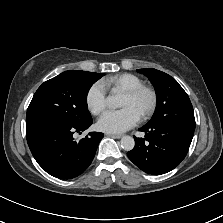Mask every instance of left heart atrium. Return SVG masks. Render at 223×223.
<instances>
[{
    "label": "left heart atrium",
    "mask_w": 223,
    "mask_h": 223,
    "mask_svg": "<svg viewBox=\"0 0 223 223\" xmlns=\"http://www.w3.org/2000/svg\"><path fill=\"white\" fill-rule=\"evenodd\" d=\"M140 120V115L132 106L119 110L106 111L98 121V127L105 132L120 133L135 126Z\"/></svg>",
    "instance_id": "39dd6f15"
}]
</instances>
